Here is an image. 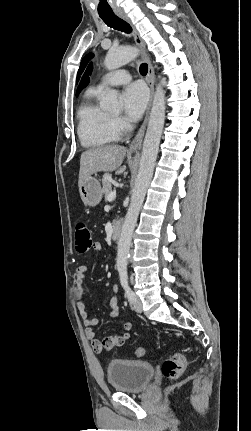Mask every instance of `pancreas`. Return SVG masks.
Returning <instances> with one entry per match:
<instances>
[{
    "instance_id": "1",
    "label": "pancreas",
    "mask_w": 251,
    "mask_h": 431,
    "mask_svg": "<svg viewBox=\"0 0 251 431\" xmlns=\"http://www.w3.org/2000/svg\"><path fill=\"white\" fill-rule=\"evenodd\" d=\"M103 189L102 192L105 195L106 200L108 195L112 192V178L110 175H104L102 179Z\"/></svg>"
}]
</instances>
